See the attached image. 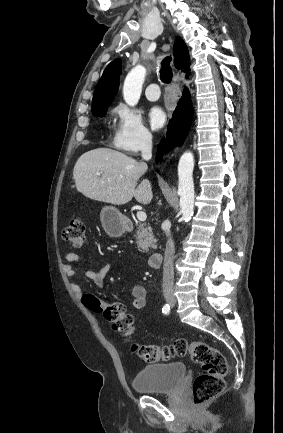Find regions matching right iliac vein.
I'll use <instances>...</instances> for the list:
<instances>
[{
	"mask_svg": "<svg viewBox=\"0 0 283 433\" xmlns=\"http://www.w3.org/2000/svg\"><path fill=\"white\" fill-rule=\"evenodd\" d=\"M166 301H167V303H168L170 306H174V305L176 304L175 299L172 298L171 296H168V297L166 298Z\"/></svg>",
	"mask_w": 283,
	"mask_h": 433,
	"instance_id": "63e3f726",
	"label": "right iliac vein"
}]
</instances>
